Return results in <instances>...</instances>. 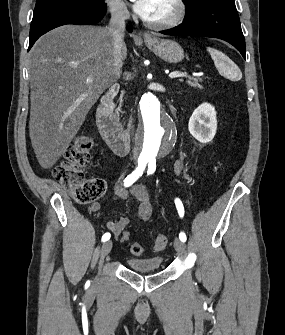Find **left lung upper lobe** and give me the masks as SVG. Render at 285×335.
Masks as SVG:
<instances>
[{"label": "left lung upper lobe", "mask_w": 285, "mask_h": 335, "mask_svg": "<svg viewBox=\"0 0 285 335\" xmlns=\"http://www.w3.org/2000/svg\"><path fill=\"white\" fill-rule=\"evenodd\" d=\"M183 1L186 5V8L189 9V8L195 7L197 4H199L203 0H183Z\"/></svg>", "instance_id": "5c2ea615"}]
</instances>
